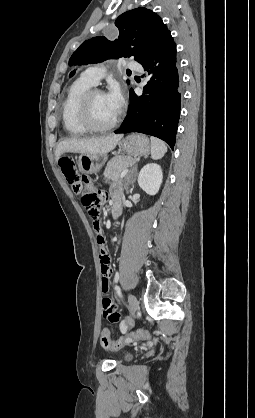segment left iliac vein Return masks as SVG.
<instances>
[{"label": "left iliac vein", "instance_id": "1", "mask_svg": "<svg viewBox=\"0 0 255 418\" xmlns=\"http://www.w3.org/2000/svg\"><path fill=\"white\" fill-rule=\"evenodd\" d=\"M128 302H129L130 314H131V317H133L135 315V313L137 312L138 307H139L138 300L134 295L129 294L128 295Z\"/></svg>", "mask_w": 255, "mask_h": 418}]
</instances>
